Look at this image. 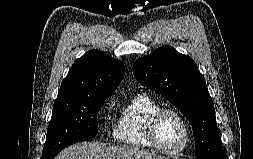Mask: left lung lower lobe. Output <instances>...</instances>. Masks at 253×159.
I'll list each match as a JSON object with an SVG mask.
<instances>
[{
    "instance_id": "obj_1",
    "label": "left lung lower lobe",
    "mask_w": 253,
    "mask_h": 159,
    "mask_svg": "<svg viewBox=\"0 0 253 159\" xmlns=\"http://www.w3.org/2000/svg\"><path fill=\"white\" fill-rule=\"evenodd\" d=\"M216 159H227L224 150H222V151L218 154V156L216 157Z\"/></svg>"
}]
</instances>
